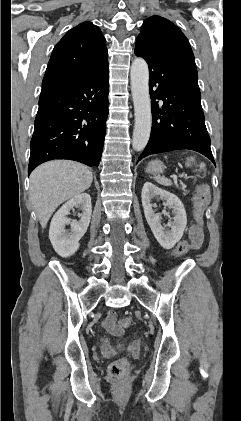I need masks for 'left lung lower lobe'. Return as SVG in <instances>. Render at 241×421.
Segmentation results:
<instances>
[{"mask_svg": "<svg viewBox=\"0 0 241 421\" xmlns=\"http://www.w3.org/2000/svg\"><path fill=\"white\" fill-rule=\"evenodd\" d=\"M135 55L143 57L149 66L152 107L150 139L138 161L151 154L190 149L215 164L194 59L156 50L140 40H136Z\"/></svg>", "mask_w": 241, "mask_h": 421, "instance_id": "1", "label": "left lung lower lobe"}]
</instances>
